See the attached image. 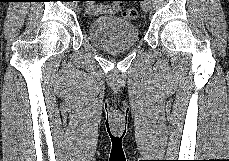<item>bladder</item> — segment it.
I'll return each instance as SVG.
<instances>
[{"label":"bladder","instance_id":"obj_1","mask_svg":"<svg viewBox=\"0 0 229 161\" xmlns=\"http://www.w3.org/2000/svg\"><path fill=\"white\" fill-rule=\"evenodd\" d=\"M87 35L101 49L115 50L133 47L139 38L137 27L118 16H103L89 23Z\"/></svg>","mask_w":229,"mask_h":161}]
</instances>
